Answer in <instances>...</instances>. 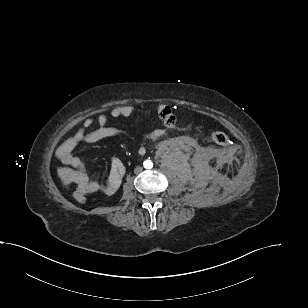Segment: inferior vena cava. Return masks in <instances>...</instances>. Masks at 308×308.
Returning a JSON list of instances; mask_svg holds the SVG:
<instances>
[{"mask_svg":"<svg viewBox=\"0 0 308 308\" xmlns=\"http://www.w3.org/2000/svg\"><path fill=\"white\" fill-rule=\"evenodd\" d=\"M142 171V168L141 167H136L135 168V170H134V172L137 174V173H139V172H141Z\"/></svg>","mask_w":308,"mask_h":308,"instance_id":"1","label":"inferior vena cava"}]
</instances>
